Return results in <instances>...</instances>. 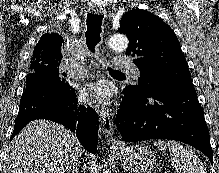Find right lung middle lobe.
Here are the masks:
<instances>
[{
	"label": "right lung middle lobe",
	"instance_id": "1",
	"mask_svg": "<svg viewBox=\"0 0 219 173\" xmlns=\"http://www.w3.org/2000/svg\"><path fill=\"white\" fill-rule=\"evenodd\" d=\"M58 63L46 62L40 63L38 65L29 66V72L27 75V80L29 78L36 77L38 75H52L55 77L65 88H72L69 83L65 80L66 74L62 72L59 68Z\"/></svg>",
	"mask_w": 219,
	"mask_h": 173
}]
</instances>
